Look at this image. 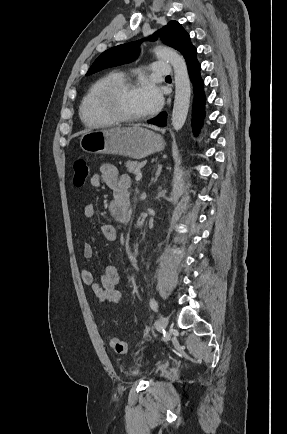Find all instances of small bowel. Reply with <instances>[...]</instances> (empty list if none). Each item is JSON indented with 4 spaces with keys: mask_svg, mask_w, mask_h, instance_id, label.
<instances>
[{
    "mask_svg": "<svg viewBox=\"0 0 287 434\" xmlns=\"http://www.w3.org/2000/svg\"><path fill=\"white\" fill-rule=\"evenodd\" d=\"M129 178L127 175H120L118 169L112 164H102L99 172L94 173L90 178L92 187H100L102 184L113 191V198L109 203V213L115 223H101L99 226L102 236L108 241H116L119 232L123 229L128 219L130 209L129 199ZM83 215L86 219L96 216V206L88 203L84 206ZM83 256L90 259L94 256V248L90 243L83 245ZM81 278L85 285L92 289L96 299L101 303H118L122 299V293L117 289L119 274L112 265H106L99 278L89 269L81 271Z\"/></svg>",
    "mask_w": 287,
    "mask_h": 434,
    "instance_id": "obj_1",
    "label": "small bowel"
}]
</instances>
